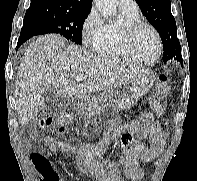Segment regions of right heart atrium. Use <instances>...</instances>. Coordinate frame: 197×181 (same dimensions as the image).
Segmentation results:
<instances>
[{
  "label": "right heart atrium",
  "instance_id": "obj_1",
  "mask_svg": "<svg viewBox=\"0 0 197 181\" xmlns=\"http://www.w3.org/2000/svg\"><path fill=\"white\" fill-rule=\"evenodd\" d=\"M106 24L96 7H92L82 24L83 42L94 48V45L102 37Z\"/></svg>",
  "mask_w": 197,
  "mask_h": 181
}]
</instances>
